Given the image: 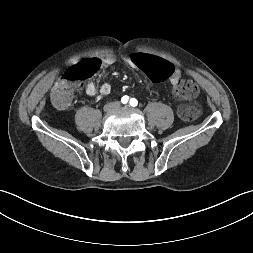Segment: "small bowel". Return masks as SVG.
<instances>
[{
    "label": "small bowel",
    "instance_id": "1",
    "mask_svg": "<svg viewBox=\"0 0 253 253\" xmlns=\"http://www.w3.org/2000/svg\"><path fill=\"white\" fill-rule=\"evenodd\" d=\"M133 55L125 57L124 61L129 66H131L133 68H138L137 65L133 62ZM98 60L100 61V64L103 67H110L116 62V58L112 54H107L103 58L98 59ZM181 76H182L181 71L172 66V72L164 78H168V81L173 86H176L179 83V81L181 80ZM85 92L88 96H95L98 93L100 95L105 96V95H108L111 92V85L109 83H104L98 88L97 85L94 82H89L85 86Z\"/></svg>",
    "mask_w": 253,
    "mask_h": 253
}]
</instances>
